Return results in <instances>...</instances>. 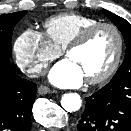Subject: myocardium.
Segmentation results:
<instances>
[{
    "label": "myocardium",
    "mask_w": 131,
    "mask_h": 131,
    "mask_svg": "<svg viewBox=\"0 0 131 131\" xmlns=\"http://www.w3.org/2000/svg\"><path fill=\"white\" fill-rule=\"evenodd\" d=\"M102 28H109L113 30L117 37V50L115 57L110 64V66L101 74L98 76L87 78L86 82L91 85H96L103 83L107 81L119 68V65L121 63L123 53H124V36L122 34V31L120 28L109 22H99L92 26H89L88 28L84 29L78 36H76L63 50L64 55L67 57V55L72 52L73 50H76L82 46H84L89 39L100 29Z\"/></svg>",
    "instance_id": "f54148a6"
}]
</instances>
